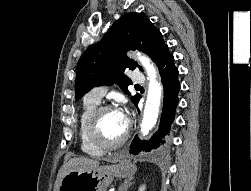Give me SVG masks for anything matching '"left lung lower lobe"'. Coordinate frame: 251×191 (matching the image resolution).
<instances>
[{
	"label": "left lung lower lobe",
	"mask_w": 251,
	"mask_h": 191,
	"mask_svg": "<svg viewBox=\"0 0 251 191\" xmlns=\"http://www.w3.org/2000/svg\"><path fill=\"white\" fill-rule=\"evenodd\" d=\"M156 65L159 69L162 84L164 87L163 111L161 114V123L159 133H156L151 140L141 141L137 137L131 144L130 153L138 154L139 152H149L156 149L161 142V138L169 133L170 125L175 117V109L178 105V92L180 83L178 81V69L174 65V57L169 52L165 51L157 60ZM139 99L136 101L137 104Z\"/></svg>",
	"instance_id": "obj_1"
}]
</instances>
